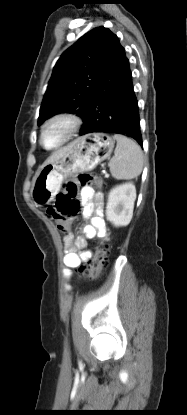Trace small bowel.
I'll return each instance as SVG.
<instances>
[{
  "label": "small bowel",
  "mask_w": 187,
  "mask_h": 415,
  "mask_svg": "<svg viewBox=\"0 0 187 415\" xmlns=\"http://www.w3.org/2000/svg\"><path fill=\"white\" fill-rule=\"evenodd\" d=\"M82 215L90 220V224L83 227L82 234L75 238L68 236L64 238L63 257L64 276L70 279L72 269L77 268L82 262H86L91 257V250L87 248V240L95 236L107 238L103 208L104 196L101 192L91 187L81 189Z\"/></svg>",
  "instance_id": "small-bowel-1"
}]
</instances>
